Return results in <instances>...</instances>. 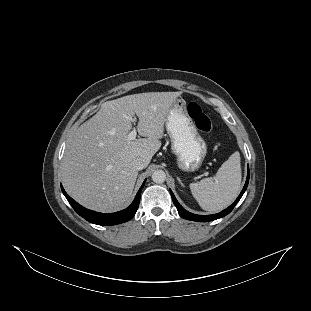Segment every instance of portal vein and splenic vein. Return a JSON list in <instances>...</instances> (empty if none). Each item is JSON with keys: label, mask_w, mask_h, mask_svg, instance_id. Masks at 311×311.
<instances>
[{"label": "portal vein and splenic vein", "mask_w": 311, "mask_h": 311, "mask_svg": "<svg viewBox=\"0 0 311 311\" xmlns=\"http://www.w3.org/2000/svg\"><path fill=\"white\" fill-rule=\"evenodd\" d=\"M132 121H135L136 119L133 118L131 119ZM136 136H137V131L136 129H133L128 135H127V140L128 141H133L136 139Z\"/></svg>", "instance_id": "18ae733b"}]
</instances>
